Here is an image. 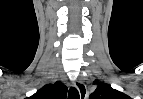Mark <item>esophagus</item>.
<instances>
[{"label":"esophagus","instance_id":"34e87169","mask_svg":"<svg viewBox=\"0 0 143 99\" xmlns=\"http://www.w3.org/2000/svg\"><path fill=\"white\" fill-rule=\"evenodd\" d=\"M76 87L79 91L80 99H86L87 97V88L82 80H78L76 83Z\"/></svg>","mask_w":143,"mask_h":99}]
</instances>
